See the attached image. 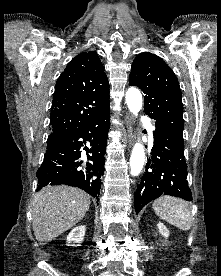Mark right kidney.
<instances>
[{
	"label": "right kidney",
	"mask_w": 221,
	"mask_h": 276,
	"mask_svg": "<svg viewBox=\"0 0 221 276\" xmlns=\"http://www.w3.org/2000/svg\"><path fill=\"white\" fill-rule=\"evenodd\" d=\"M86 227L84 225L75 227L72 231L67 235V245H75L80 244L84 240Z\"/></svg>",
	"instance_id": "ca27d5eb"
}]
</instances>
